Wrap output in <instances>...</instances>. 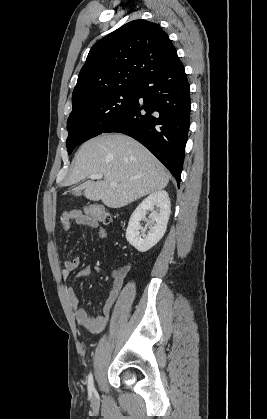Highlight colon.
Masks as SVG:
<instances>
[{"label":"colon","mask_w":267,"mask_h":419,"mask_svg":"<svg viewBox=\"0 0 267 419\" xmlns=\"http://www.w3.org/2000/svg\"><path fill=\"white\" fill-rule=\"evenodd\" d=\"M85 217L99 223L108 224L112 221V214L100 205H88L81 212Z\"/></svg>","instance_id":"obj_1"}]
</instances>
